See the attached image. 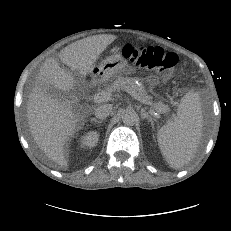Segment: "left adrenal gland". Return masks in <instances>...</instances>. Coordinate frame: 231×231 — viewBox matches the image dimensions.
Masks as SVG:
<instances>
[{
  "label": "left adrenal gland",
  "instance_id": "left-adrenal-gland-1",
  "mask_svg": "<svg viewBox=\"0 0 231 231\" xmlns=\"http://www.w3.org/2000/svg\"><path fill=\"white\" fill-rule=\"evenodd\" d=\"M141 117L142 119H146L151 123L152 128H154V120L153 118L145 111V109H141Z\"/></svg>",
  "mask_w": 231,
  "mask_h": 231
}]
</instances>
